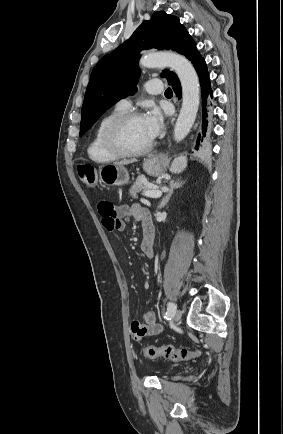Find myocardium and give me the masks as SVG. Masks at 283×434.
Listing matches in <instances>:
<instances>
[{"instance_id": "myocardium-1", "label": "myocardium", "mask_w": 283, "mask_h": 434, "mask_svg": "<svg viewBox=\"0 0 283 434\" xmlns=\"http://www.w3.org/2000/svg\"><path fill=\"white\" fill-rule=\"evenodd\" d=\"M139 112H125L112 120L104 130L103 144L105 148L118 157H136L148 153L153 147V141L141 149H129L125 146L122 134L125 127L133 120L141 118Z\"/></svg>"}]
</instances>
